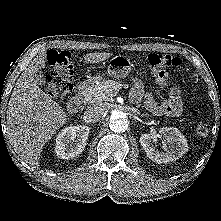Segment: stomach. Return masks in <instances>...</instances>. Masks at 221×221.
Segmentation results:
<instances>
[{
	"instance_id": "0dacf381",
	"label": "stomach",
	"mask_w": 221,
	"mask_h": 221,
	"mask_svg": "<svg viewBox=\"0 0 221 221\" xmlns=\"http://www.w3.org/2000/svg\"><path fill=\"white\" fill-rule=\"evenodd\" d=\"M132 62L123 55L112 57L107 65V74L115 79H122L129 75L132 70Z\"/></svg>"
}]
</instances>
